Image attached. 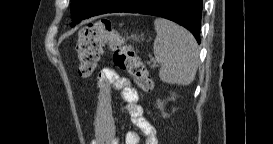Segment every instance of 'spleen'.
I'll return each instance as SVG.
<instances>
[{"instance_id":"obj_1","label":"spleen","mask_w":273,"mask_h":144,"mask_svg":"<svg viewBox=\"0 0 273 144\" xmlns=\"http://www.w3.org/2000/svg\"><path fill=\"white\" fill-rule=\"evenodd\" d=\"M154 55L161 65L159 77L164 83L189 85L195 78L198 46L185 28L163 18L154 21Z\"/></svg>"}]
</instances>
